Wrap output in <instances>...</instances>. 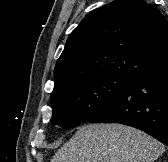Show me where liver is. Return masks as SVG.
Here are the masks:
<instances>
[{"instance_id":"liver-1","label":"liver","mask_w":168,"mask_h":162,"mask_svg":"<svg viewBox=\"0 0 168 162\" xmlns=\"http://www.w3.org/2000/svg\"><path fill=\"white\" fill-rule=\"evenodd\" d=\"M164 145L150 135L122 124H89L80 128L51 162H153Z\"/></svg>"}]
</instances>
